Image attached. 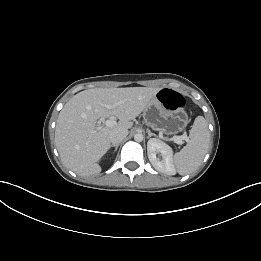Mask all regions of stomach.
<instances>
[{
  "instance_id": "0dacf381",
  "label": "stomach",
  "mask_w": 261,
  "mask_h": 261,
  "mask_svg": "<svg viewBox=\"0 0 261 261\" xmlns=\"http://www.w3.org/2000/svg\"><path fill=\"white\" fill-rule=\"evenodd\" d=\"M143 116L150 127L167 135L183 131L188 123V115L184 110H167L156 96L144 109Z\"/></svg>"
}]
</instances>
